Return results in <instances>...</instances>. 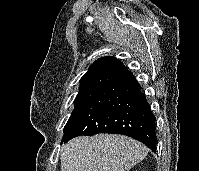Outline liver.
Returning <instances> with one entry per match:
<instances>
[{"label": "liver", "mask_w": 199, "mask_h": 171, "mask_svg": "<svg viewBox=\"0 0 199 171\" xmlns=\"http://www.w3.org/2000/svg\"><path fill=\"white\" fill-rule=\"evenodd\" d=\"M147 153L146 146L127 136H80L62 147L61 171H129Z\"/></svg>", "instance_id": "6515ba94"}]
</instances>
